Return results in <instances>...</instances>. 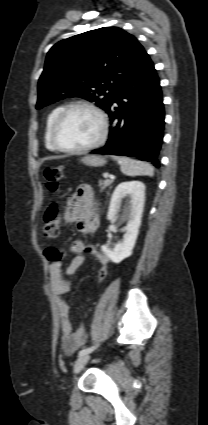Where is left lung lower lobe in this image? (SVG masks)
I'll list each match as a JSON object with an SVG mask.
<instances>
[{"label":"left lung lower lobe","mask_w":208,"mask_h":425,"mask_svg":"<svg viewBox=\"0 0 208 425\" xmlns=\"http://www.w3.org/2000/svg\"><path fill=\"white\" fill-rule=\"evenodd\" d=\"M105 111L110 117L109 139L91 153L136 157L160 167L165 114L160 80L148 54L134 75L118 87Z\"/></svg>","instance_id":"left-lung-lower-lobe-1"}]
</instances>
